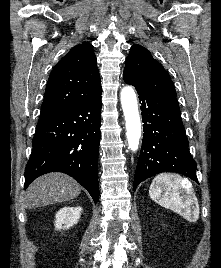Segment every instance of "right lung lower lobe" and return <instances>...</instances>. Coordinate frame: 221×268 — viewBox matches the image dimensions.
Here are the masks:
<instances>
[{
	"label": "right lung lower lobe",
	"mask_w": 221,
	"mask_h": 268,
	"mask_svg": "<svg viewBox=\"0 0 221 268\" xmlns=\"http://www.w3.org/2000/svg\"><path fill=\"white\" fill-rule=\"evenodd\" d=\"M101 105L99 94L76 105L40 113L25 169V188L45 173L63 172L76 179L98 202Z\"/></svg>",
	"instance_id": "98d812e1"
}]
</instances>
